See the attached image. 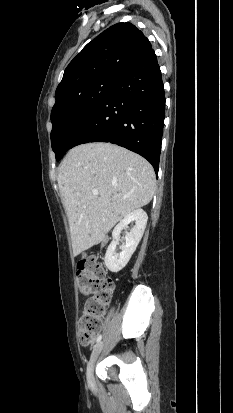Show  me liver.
I'll use <instances>...</instances> for the list:
<instances>
[{"instance_id": "liver-1", "label": "liver", "mask_w": 233, "mask_h": 413, "mask_svg": "<svg viewBox=\"0 0 233 413\" xmlns=\"http://www.w3.org/2000/svg\"><path fill=\"white\" fill-rule=\"evenodd\" d=\"M57 180L75 256L100 243L117 222L147 205L155 192V173L146 159L104 142L72 148L59 166Z\"/></svg>"}]
</instances>
